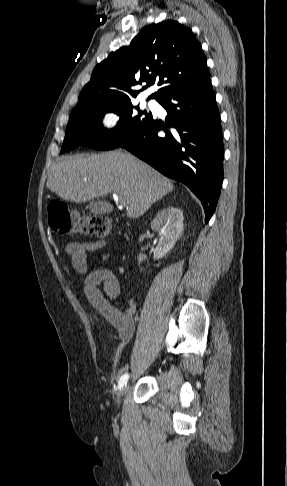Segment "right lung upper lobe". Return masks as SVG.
<instances>
[{
    "instance_id": "obj_1",
    "label": "right lung upper lobe",
    "mask_w": 287,
    "mask_h": 486,
    "mask_svg": "<svg viewBox=\"0 0 287 486\" xmlns=\"http://www.w3.org/2000/svg\"><path fill=\"white\" fill-rule=\"evenodd\" d=\"M210 73L200 43L191 29L167 20L152 24L97 64L73 111L99 103L135 98L157 83L150 98L162 97L206 82ZM146 83L137 90L136 85ZM72 111V112H73Z\"/></svg>"
}]
</instances>
